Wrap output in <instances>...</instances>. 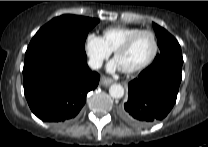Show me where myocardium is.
<instances>
[{
    "instance_id": "myocardium-1",
    "label": "myocardium",
    "mask_w": 208,
    "mask_h": 147,
    "mask_svg": "<svg viewBox=\"0 0 208 147\" xmlns=\"http://www.w3.org/2000/svg\"><path fill=\"white\" fill-rule=\"evenodd\" d=\"M142 34H149L154 41V50L152 55L150 56V58L144 62L141 65L135 66V67H130V68H124V67H120L121 71L127 74H134L137 72H140L146 68H148L156 59L158 52H159V42H158V38L156 36V34L151 31V30H140L134 34H132L129 38H127L115 51H114V55H115V59H117V57L124 53L125 51H127L131 45L133 44V42Z\"/></svg>"
}]
</instances>
